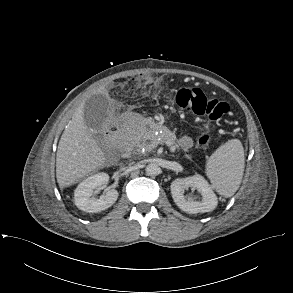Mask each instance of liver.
I'll return each mask as SVG.
<instances>
[{"mask_svg": "<svg viewBox=\"0 0 293 293\" xmlns=\"http://www.w3.org/2000/svg\"><path fill=\"white\" fill-rule=\"evenodd\" d=\"M99 94L107 95L102 89ZM105 156L87 130L83 106L77 109L59 141L56 178L60 188L69 187L105 164Z\"/></svg>", "mask_w": 293, "mask_h": 293, "instance_id": "liver-1", "label": "liver"}]
</instances>
